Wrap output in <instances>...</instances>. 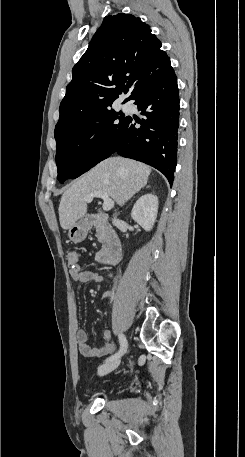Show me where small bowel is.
Wrapping results in <instances>:
<instances>
[{
  "label": "small bowel",
  "instance_id": "small-bowel-1",
  "mask_svg": "<svg viewBox=\"0 0 245 457\" xmlns=\"http://www.w3.org/2000/svg\"><path fill=\"white\" fill-rule=\"evenodd\" d=\"M70 275L73 280L81 283L101 282L103 280V276L100 273L92 270L82 271L81 269H71ZM115 291L116 285H114L111 290L104 292L102 298L107 299L112 297ZM104 336V341L99 347H91L87 343L86 332L83 329H78L75 338L79 352L83 356L91 358H98L111 354L116 348L115 343L110 339L111 333L109 331H106Z\"/></svg>",
  "mask_w": 245,
  "mask_h": 457
}]
</instances>
